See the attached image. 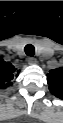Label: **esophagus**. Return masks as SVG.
I'll return each instance as SVG.
<instances>
[{
	"label": "esophagus",
	"instance_id": "1",
	"mask_svg": "<svg viewBox=\"0 0 63 123\" xmlns=\"http://www.w3.org/2000/svg\"><path fill=\"white\" fill-rule=\"evenodd\" d=\"M28 63H29L30 65H34V64L37 63V60H36L35 58H33V57H29V58H28Z\"/></svg>",
	"mask_w": 63,
	"mask_h": 123
}]
</instances>
